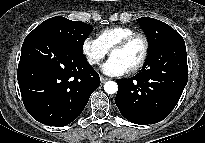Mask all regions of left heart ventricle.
Returning a JSON list of instances; mask_svg holds the SVG:
<instances>
[{"mask_svg": "<svg viewBox=\"0 0 205 143\" xmlns=\"http://www.w3.org/2000/svg\"><path fill=\"white\" fill-rule=\"evenodd\" d=\"M142 53L143 43L137 39L125 49L113 52L111 57L117 59L129 70L140 60Z\"/></svg>", "mask_w": 205, "mask_h": 143, "instance_id": "b2bd125f", "label": "left heart ventricle"}]
</instances>
